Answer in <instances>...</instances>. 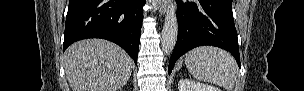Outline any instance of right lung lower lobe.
<instances>
[{"mask_svg": "<svg viewBox=\"0 0 304 91\" xmlns=\"http://www.w3.org/2000/svg\"><path fill=\"white\" fill-rule=\"evenodd\" d=\"M146 0H70L63 51L73 42L102 38L121 46L137 65Z\"/></svg>", "mask_w": 304, "mask_h": 91, "instance_id": "right-lung-lower-lobe-1", "label": "right lung lower lobe"}]
</instances>
